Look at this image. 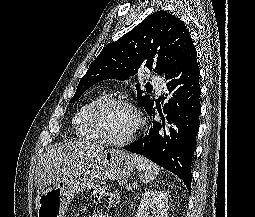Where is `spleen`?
I'll return each mask as SVG.
<instances>
[{"label": "spleen", "instance_id": "spleen-1", "mask_svg": "<svg viewBox=\"0 0 255 217\" xmlns=\"http://www.w3.org/2000/svg\"><path fill=\"white\" fill-rule=\"evenodd\" d=\"M130 156L136 168L140 172V177L143 182H150L159 174L160 168L150 160L137 154H131Z\"/></svg>", "mask_w": 255, "mask_h": 217}]
</instances>
